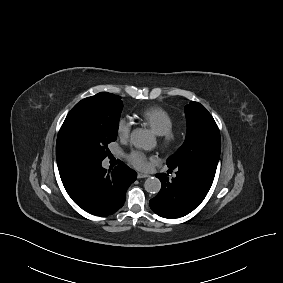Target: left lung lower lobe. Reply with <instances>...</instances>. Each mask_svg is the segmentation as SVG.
I'll return each mask as SVG.
<instances>
[{
  "mask_svg": "<svg viewBox=\"0 0 283 283\" xmlns=\"http://www.w3.org/2000/svg\"><path fill=\"white\" fill-rule=\"evenodd\" d=\"M156 177L162 187L150 200V207L157 215L168 219L183 217L193 211L212 185L200 174L183 169H178L172 180L164 173H158Z\"/></svg>",
  "mask_w": 283,
  "mask_h": 283,
  "instance_id": "0a47b994",
  "label": "left lung lower lobe"
}]
</instances>
